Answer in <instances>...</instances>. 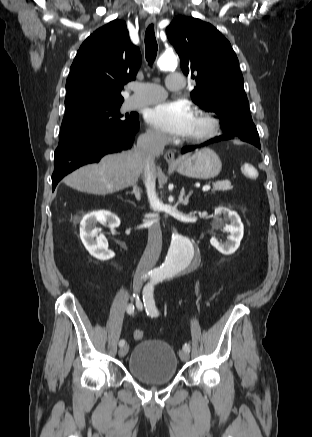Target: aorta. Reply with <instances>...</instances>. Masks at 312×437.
I'll use <instances>...</instances> for the list:
<instances>
[{
  "mask_svg": "<svg viewBox=\"0 0 312 437\" xmlns=\"http://www.w3.org/2000/svg\"><path fill=\"white\" fill-rule=\"evenodd\" d=\"M177 57L173 53H164L158 59V67L163 70H172L177 67ZM198 252L194 244L186 237L173 232L170 248L159 272L165 276H173L184 270L192 260L196 259Z\"/></svg>",
  "mask_w": 312,
  "mask_h": 437,
  "instance_id": "762f6f07",
  "label": "aorta"
}]
</instances>
